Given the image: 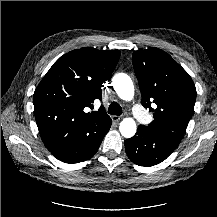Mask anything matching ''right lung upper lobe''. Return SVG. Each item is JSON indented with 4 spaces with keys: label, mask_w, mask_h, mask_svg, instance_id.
I'll return each mask as SVG.
<instances>
[{
    "label": "right lung upper lobe",
    "mask_w": 217,
    "mask_h": 217,
    "mask_svg": "<svg viewBox=\"0 0 217 217\" xmlns=\"http://www.w3.org/2000/svg\"><path fill=\"white\" fill-rule=\"evenodd\" d=\"M119 57V50H72L53 64L37 86L35 119L52 154L76 147L97 125L111 121L103 111L89 114L84 108L102 99V83L111 76Z\"/></svg>",
    "instance_id": "1"
}]
</instances>
